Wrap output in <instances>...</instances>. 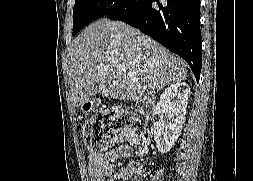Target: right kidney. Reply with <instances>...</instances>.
<instances>
[{"label": "right kidney", "instance_id": "right-kidney-1", "mask_svg": "<svg viewBox=\"0 0 253 181\" xmlns=\"http://www.w3.org/2000/svg\"><path fill=\"white\" fill-rule=\"evenodd\" d=\"M190 87L185 82L170 85L160 95L155 107L157 115L165 114L167 122L163 119L154 123L153 132L156 146L160 153L166 154L178 139L185 120Z\"/></svg>", "mask_w": 253, "mask_h": 181}]
</instances>
